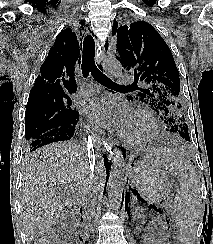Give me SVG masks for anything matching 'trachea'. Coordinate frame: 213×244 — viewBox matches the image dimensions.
I'll list each match as a JSON object with an SVG mask.
<instances>
[{"mask_svg":"<svg viewBox=\"0 0 213 244\" xmlns=\"http://www.w3.org/2000/svg\"><path fill=\"white\" fill-rule=\"evenodd\" d=\"M95 57V42L91 35H87L83 41V55H82V73L83 76L86 78L88 77L89 73L93 76V78L100 84L109 87V88H122L128 87L123 85H118L114 83L110 78H108L105 74L101 71V68H97L94 61Z\"/></svg>","mask_w":213,"mask_h":244,"instance_id":"obj_1","label":"trachea"}]
</instances>
